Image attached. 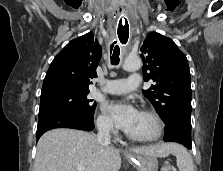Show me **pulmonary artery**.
Instances as JSON below:
<instances>
[{
  "label": "pulmonary artery",
  "instance_id": "pulmonary-artery-1",
  "mask_svg": "<svg viewBox=\"0 0 223 171\" xmlns=\"http://www.w3.org/2000/svg\"><path fill=\"white\" fill-rule=\"evenodd\" d=\"M140 83V75L134 73L127 79L108 80L106 85L102 88V91L113 95L127 94L136 90L140 86Z\"/></svg>",
  "mask_w": 223,
  "mask_h": 171
}]
</instances>
